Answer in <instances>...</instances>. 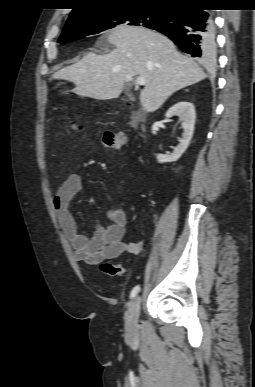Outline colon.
I'll use <instances>...</instances> for the list:
<instances>
[{
    "instance_id": "obj_1",
    "label": "colon",
    "mask_w": 255,
    "mask_h": 387,
    "mask_svg": "<svg viewBox=\"0 0 255 387\" xmlns=\"http://www.w3.org/2000/svg\"><path fill=\"white\" fill-rule=\"evenodd\" d=\"M71 128L75 131L81 130V127L76 125H72ZM128 142V136L124 133L105 132L101 137L102 145L109 149L122 148L127 145ZM100 270L110 276H122L125 272L122 266L108 261L100 263Z\"/></svg>"
}]
</instances>
